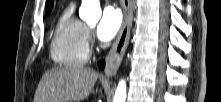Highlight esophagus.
<instances>
[{
	"mask_svg": "<svg viewBox=\"0 0 221 102\" xmlns=\"http://www.w3.org/2000/svg\"><path fill=\"white\" fill-rule=\"evenodd\" d=\"M123 8L124 22L122 28L106 58V77H111L117 72L130 39V30L132 27V1L123 0Z\"/></svg>",
	"mask_w": 221,
	"mask_h": 102,
	"instance_id": "34e87169",
	"label": "esophagus"
}]
</instances>
